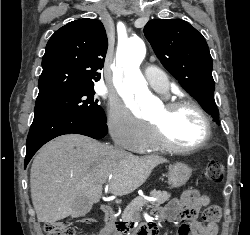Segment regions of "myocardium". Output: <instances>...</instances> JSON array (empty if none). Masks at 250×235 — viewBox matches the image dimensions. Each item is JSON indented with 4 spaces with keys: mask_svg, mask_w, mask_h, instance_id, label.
<instances>
[{
    "mask_svg": "<svg viewBox=\"0 0 250 235\" xmlns=\"http://www.w3.org/2000/svg\"><path fill=\"white\" fill-rule=\"evenodd\" d=\"M183 107L194 109L202 118L204 126V134L199 142L193 145L184 146L173 143L167 136L165 126L162 123H150L154 136L161 148L177 153L194 152L202 148L209 141L211 136V122L206 110L195 100L189 98H181L171 100L164 105L166 115H171L174 111Z\"/></svg>",
    "mask_w": 250,
    "mask_h": 235,
    "instance_id": "f54148a6",
    "label": "myocardium"
}]
</instances>
